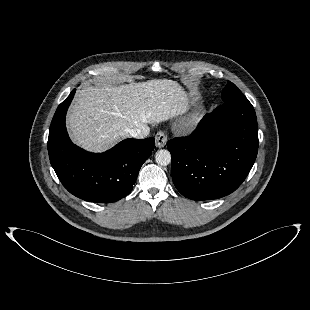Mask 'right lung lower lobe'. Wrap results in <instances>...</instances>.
<instances>
[{"mask_svg": "<svg viewBox=\"0 0 310 310\" xmlns=\"http://www.w3.org/2000/svg\"><path fill=\"white\" fill-rule=\"evenodd\" d=\"M75 89L52 119L48 153L63 186L90 202L111 203L130 193L142 164L154 149L153 137L125 139L104 153H90L74 145L66 131L65 116Z\"/></svg>", "mask_w": 310, "mask_h": 310, "instance_id": "98d812e1", "label": "right lung lower lobe"}]
</instances>
